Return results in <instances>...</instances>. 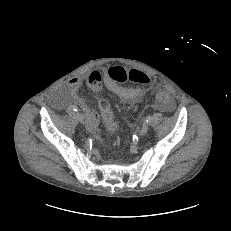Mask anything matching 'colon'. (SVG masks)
Returning a JSON list of instances; mask_svg holds the SVG:
<instances>
[{
  "label": "colon",
  "instance_id": "1",
  "mask_svg": "<svg viewBox=\"0 0 231 231\" xmlns=\"http://www.w3.org/2000/svg\"><path fill=\"white\" fill-rule=\"evenodd\" d=\"M107 74L112 84L123 83L126 80H131L137 83H147L148 82V78L143 72L137 69H127L123 66H113L108 70ZM100 87H101L100 81L96 80V82H94V88L96 90H99ZM156 99L160 103L169 102V96L165 92H158L156 94ZM99 108L101 111L102 120H103L106 130L110 134H116L119 131V125L114 119V115L111 110V106L109 102L104 99L101 100L99 102Z\"/></svg>",
  "mask_w": 231,
  "mask_h": 231
}]
</instances>
